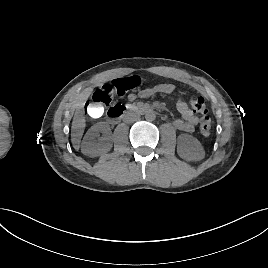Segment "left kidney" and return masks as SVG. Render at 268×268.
<instances>
[{
	"label": "left kidney",
	"mask_w": 268,
	"mask_h": 268,
	"mask_svg": "<svg viewBox=\"0 0 268 268\" xmlns=\"http://www.w3.org/2000/svg\"><path fill=\"white\" fill-rule=\"evenodd\" d=\"M177 152L182 159L187 161H198L205 156V151L200 141L189 134L178 136Z\"/></svg>",
	"instance_id": "5707ae66"
}]
</instances>
